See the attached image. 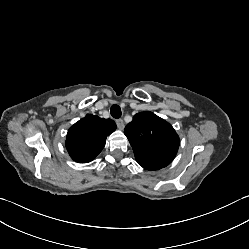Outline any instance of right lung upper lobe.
<instances>
[{
    "label": "right lung upper lobe",
    "instance_id": "1",
    "mask_svg": "<svg viewBox=\"0 0 249 249\" xmlns=\"http://www.w3.org/2000/svg\"><path fill=\"white\" fill-rule=\"evenodd\" d=\"M115 129L113 120L87 114L67 133L65 145L69 155L79 163L92 161L105 146L106 137Z\"/></svg>",
    "mask_w": 249,
    "mask_h": 249
}]
</instances>
